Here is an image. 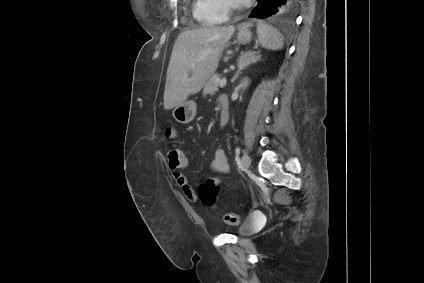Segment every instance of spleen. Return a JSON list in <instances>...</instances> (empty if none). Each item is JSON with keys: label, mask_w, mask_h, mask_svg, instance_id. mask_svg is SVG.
<instances>
[{"label": "spleen", "mask_w": 424, "mask_h": 283, "mask_svg": "<svg viewBox=\"0 0 424 283\" xmlns=\"http://www.w3.org/2000/svg\"><path fill=\"white\" fill-rule=\"evenodd\" d=\"M259 43L271 50H278L283 47L284 41L281 34L266 23H259L257 27Z\"/></svg>", "instance_id": "obj_1"}]
</instances>
